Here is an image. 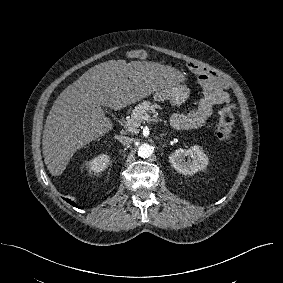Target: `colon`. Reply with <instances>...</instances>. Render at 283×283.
Wrapping results in <instances>:
<instances>
[{
	"instance_id": "obj_1",
	"label": "colon",
	"mask_w": 283,
	"mask_h": 283,
	"mask_svg": "<svg viewBox=\"0 0 283 283\" xmlns=\"http://www.w3.org/2000/svg\"><path fill=\"white\" fill-rule=\"evenodd\" d=\"M134 58H145L146 54L142 50H136L132 52ZM218 124L216 126L217 136L222 141H228L231 136V130L233 125V114L228 107H220L218 110Z\"/></svg>"
}]
</instances>
